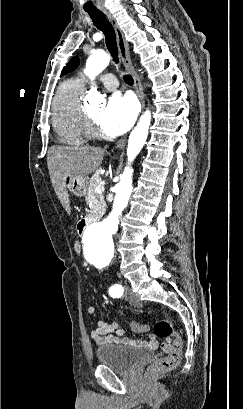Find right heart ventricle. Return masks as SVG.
I'll list each match as a JSON object with an SVG mask.
<instances>
[{"mask_svg":"<svg viewBox=\"0 0 243 409\" xmlns=\"http://www.w3.org/2000/svg\"><path fill=\"white\" fill-rule=\"evenodd\" d=\"M84 83L79 78L64 81L52 103V124L59 139L69 145L84 144L90 137L85 110L80 100Z\"/></svg>","mask_w":243,"mask_h":409,"instance_id":"1","label":"right heart ventricle"}]
</instances>
